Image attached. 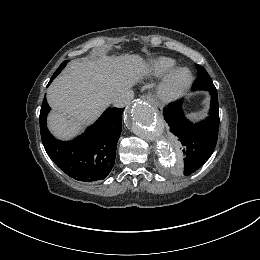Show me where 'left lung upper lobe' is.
I'll list each match as a JSON object with an SVG mask.
<instances>
[{"label":"left lung upper lobe","mask_w":260,"mask_h":260,"mask_svg":"<svg viewBox=\"0 0 260 260\" xmlns=\"http://www.w3.org/2000/svg\"><path fill=\"white\" fill-rule=\"evenodd\" d=\"M198 77L193 85L194 90H214L216 89L207 71L200 65H197Z\"/></svg>","instance_id":"1"}]
</instances>
